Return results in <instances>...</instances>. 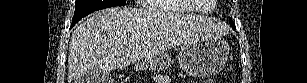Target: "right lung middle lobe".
Returning a JSON list of instances; mask_svg holds the SVG:
<instances>
[{
	"instance_id": "1",
	"label": "right lung middle lobe",
	"mask_w": 307,
	"mask_h": 83,
	"mask_svg": "<svg viewBox=\"0 0 307 83\" xmlns=\"http://www.w3.org/2000/svg\"><path fill=\"white\" fill-rule=\"evenodd\" d=\"M126 0H76L75 1V14L72 20V26L75 25L81 18L88 14L115 6H124Z\"/></svg>"
}]
</instances>
